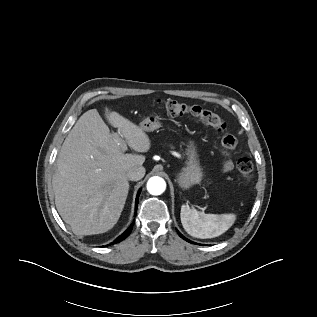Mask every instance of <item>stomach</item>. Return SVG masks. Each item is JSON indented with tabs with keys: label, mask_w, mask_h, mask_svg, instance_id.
I'll use <instances>...</instances> for the list:
<instances>
[{
	"label": "stomach",
	"mask_w": 317,
	"mask_h": 317,
	"mask_svg": "<svg viewBox=\"0 0 317 317\" xmlns=\"http://www.w3.org/2000/svg\"><path fill=\"white\" fill-rule=\"evenodd\" d=\"M161 124L156 113H151L140 123L143 131L151 132L160 128ZM186 165L177 177V183L183 190H187L195 184L200 183L203 177L202 168L200 166L199 155L194 141L190 140L186 151Z\"/></svg>",
	"instance_id": "1"
}]
</instances>
